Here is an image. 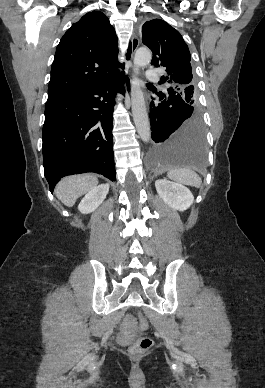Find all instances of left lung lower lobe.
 <instances>
[{"label":"left lung lower lobe","mask_w":265,"mask_h":388,"mask_svg":"<svg viewBox=\"0 0 265 388\" xmlns=\"http://www.w3.org/2000/svg\"><path fill=\"white\" fill-rule=\"evenodd\" d=\"M160 100L150 104L151 137L149 161L152 166H182L202 169L205 165V129L198 108L183 102L179 95L156 93Z\"/></svg>","instance_id":"obj_1"}]
</instances>
